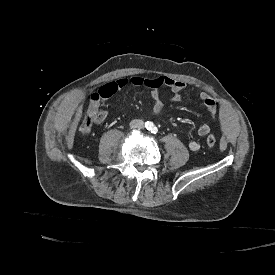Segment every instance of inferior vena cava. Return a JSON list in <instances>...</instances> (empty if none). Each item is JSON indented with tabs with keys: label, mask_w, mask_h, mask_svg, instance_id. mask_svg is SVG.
I'll return each mask as SVG.
<instances>
[{
	"label": "inferior vena cava",
	"mask_w": 275,
	"mask_h": 275,
	"mask_svg": "<svg viewBox=\"0 0 275 275\" xmlns=\"http://www.w3.org/2000/svg\"><path fill=\"white\" fill-rule=\"evenodd\" d=\"M130 128L132 129H141L144 127V122L143 120H140V119H134L130 122Z\"/></svg>",
	"instance_id": "1"
}]
</instances>
